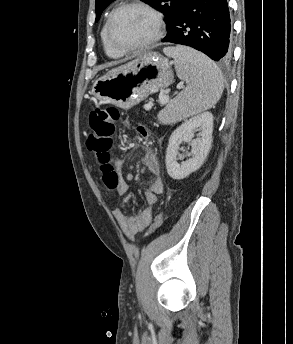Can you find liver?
<instances>
[{
    "label": "liver",
    "instance_id": "1",
    "mask_svg": "<svg viewBox=\"0 0 293 344\" xmlns=\"http://www.w3.org/2000/svg\"><path fill=\"white\" fill-rule=\"evenodd\" d=\"M137 61H138V59L133 60V61H131V62L127 63V64H124V65H122V66H119V67H117V68L111 69L110 71L107 72V74L115 73V72H117V71H121V70H123V69L129 68V67H131L132 65H134Z\"/></svg>",
    "mask_w": 293,
    "mask_h": 344
}]
</instances>
